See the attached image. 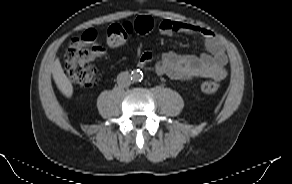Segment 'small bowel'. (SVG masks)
Segmentation results:
<instances>
[{"mask_svg": "<svg viewBox=\"0 0 292 184\" xmlns=\"http://www.w3.org/2000/svg\"><path fill=\"white\" fill-rule=\"evenodd\" d=\"M154 23L155 29L163 35L170 36L178 32L197 35L203 39L206 48V52L200 55L182 56L171 51L163 53L155 64L157 73L166 75L173 80H189L196 77H209L221 80L226 76L228 58L223 45L213 31L202 26L177 20L166 19L160 22L154 21ZM152 59V54L144 53L139 59V64L145 66Z\"/></svg>", "mask_w": 292, "mask_h": 184, "instance_id": "c3829d8e", "label": "small bowel"}]
</instances>
